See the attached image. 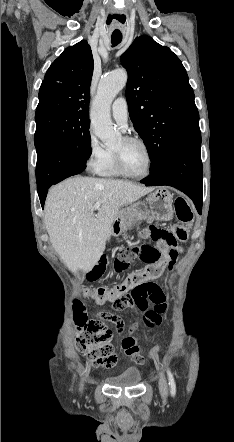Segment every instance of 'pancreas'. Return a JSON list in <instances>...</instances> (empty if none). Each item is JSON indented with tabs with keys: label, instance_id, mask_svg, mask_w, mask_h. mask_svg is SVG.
<instances>
[{
	"label": "pancreas",
	"instance_id": "1",
	"mask_svg": "<svg viewBox=\"0 0 234 442\" xmlns=\"http://www.w3.org/2000/svg\"><path fill=\"white\" fill-rule=\"evenodd\" d=\"M134 220V215H131L130 216V221H133Z\"/></svg>",
	"mask_w": 234,
	"mask_h": 442
}]
</instances>
